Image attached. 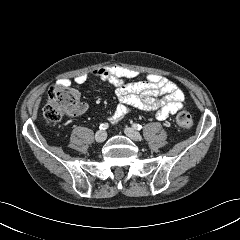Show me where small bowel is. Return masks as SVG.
<instances>
[{"label": "small bowel", "mask_w": 240, "mask_h": 240, "mask_svg": "<svg viewBox=\"0 0 240 240\" xmlns=\"http://www.w3.org/2000/svg\"><path fill=\"white\" fill-rule=\"evenodd\" d=\"M137 76L138 72L133 69L105 66L94 69L90 75L77 76L74 83L82 85L92 77L115 87L119 104L109 116L113 124L124 119L133 108L154 111L159 120H165L182 109L185 96L176 83L157 74H151L143 81H130ZM58 83L69 86L72 81L62 78ZM81 110L82 108L79 111Z\"/></svg>", "instance_id": "small-bowel-1"}]
</instances>
